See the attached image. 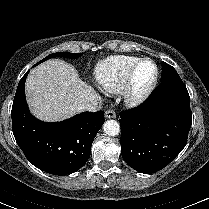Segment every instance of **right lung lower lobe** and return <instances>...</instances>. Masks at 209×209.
<instances>
[{"label":"right lung lower lobe","mask_w":209,"mask_h":209,"mask_svg":"<svg viewBox=\"0 0 209 209\" xmlns=\"http://www.w3.org/2000/svg\"><path fill=\"white\" fill-rule=\"evenodd\" d=\"M29 71L18 84L11 111L16 142L37 168L54 175L73 173L89 159L92 142L104 123V112H83L57 123L34 118L25 100Z\"/></svg>","instance_id":"1"}]
</instances>
